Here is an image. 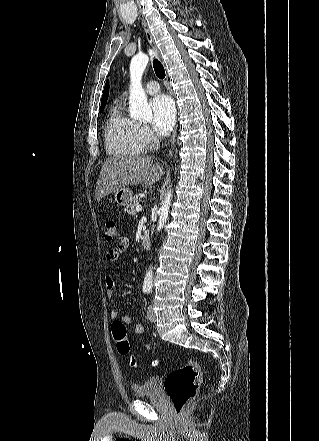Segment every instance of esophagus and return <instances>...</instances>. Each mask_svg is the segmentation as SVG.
Wrapping results in <instances>:
<instances>
[{
    "label": "esophagus",
    "mask_w": 319,
    "mask_h": 441,
    "mask_svg": "<svg viewBox=\"0 0 319 441\" xmlns=\"http://www.w3.org/2000/svg\"><path fill=\"white\" fill-rule=\"evenodd\" d=\"M142 26H143V29H144V31H145V34H146L147 40H148V42H149L151 48L154 50L156 56L161 60L159 50H158V48H157V46H156V44H155V41H154V38H153V36H152V34H151V32H150V29L148 28V26H147V24L145 23V21H142ZM166 79H167V82H168V75H167V74H166ZM170 94L173 95V92H172L171 90H170ZM176 135H177V125L175 126V129H174V132H173L172 138H171V140H170L171 148H172V147L174 146V144H175V141H176Z\"/></svg>",
    "instance_id": "34e87169"
}]
</instances>
